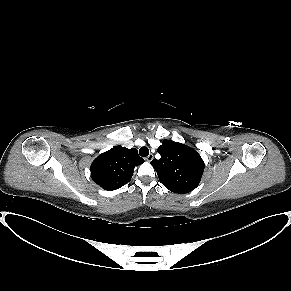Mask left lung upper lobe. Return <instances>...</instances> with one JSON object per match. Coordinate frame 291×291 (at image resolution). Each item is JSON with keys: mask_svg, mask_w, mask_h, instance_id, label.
<instances>
[{"mask_svg": "<svg viewBox=\"0 0 291 291\" xmlns=\"http://www.w3.org/2000/svg\"><path fill=\"white\" fill-rule=\"evenodd\" d=\"M158 153L161 158L152 160L151 165L156 170L159 181L170 191L188 193L198 186L204 171V162L193 148L164 140Z\"/></svg>", "mask_w": 291, "mask_h": 291, "instance_id": "1", "label": "left lung upper lobe"}]
</instances>
